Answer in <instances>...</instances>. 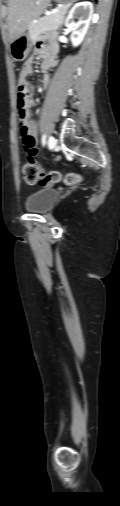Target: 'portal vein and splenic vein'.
Returning a JSON list of instances; mask_svg holds the SVG:
<instances>
[{
	"label": "portal vein and splenic vein",
	"instance_id": "18ae733b",
	"mask_svg": "<svg viewBox=\"0 0 120 506\" xmlns=\"http://www.w3.org/2000/svg\"><path fill=\"white\" fill-rule=\"evenodd\" d=\"M58 10H59V7H57L56 9H54L51 13H56V12H58Z\"/></svg>",
	"mask_w": 120,
	"mask_h": 506
}]
</instances>
